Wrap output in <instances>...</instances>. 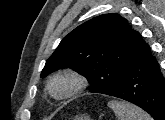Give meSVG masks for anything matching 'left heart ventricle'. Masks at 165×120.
Masks as SVG:
<instances>
[{
	"mask_svg": "<svg viewBox=\"0 0 165 120\" xmlns=\"http://www.w3.org/2000/svg\"><path fill=\"white\" fill-rule=\"evenodd\" d=\"M66 88H67V84L65 82H58L55 85V90L57 93H61V92L65 91Z\"/></svg>",
	"mask_w": 165,
	"mask_h": 120,
	"instance_id": "b2bd125f",
	"label": "left heart ventricle"
}]
</instances>
